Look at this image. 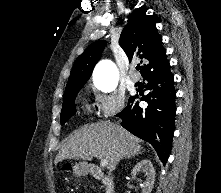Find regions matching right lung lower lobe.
I'll return each mask as SVG.
<instances>
[{
	"instance_id": "1",
	"label": "right lung lower lobe",
	"mask_w": 221,
	"mask_h": 193,
	"mask_svg": "<svg viewBox=\"0 0 221 193\" xmlns=\"http://www.w3.org/2000/svg\"><path fill=\"white\" fill-rule=\"evenodd\" d=\"M144 79L148 82V95L141 99L138 95L130 97L128 105L117 116L123 120L125 129L154 147L165 165L171 151L176 114V91L170 65L152 71ZM140 100L146 101L148 107L140 108Z\"/></svg>"
}]
</instances>
